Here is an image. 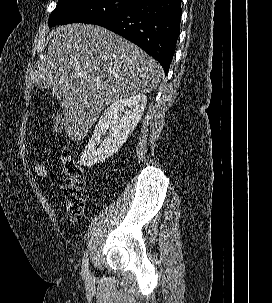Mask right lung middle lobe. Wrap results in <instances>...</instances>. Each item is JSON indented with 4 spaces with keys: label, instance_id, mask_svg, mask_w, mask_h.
<instances>
[{
    "label": "right lung middle lobe",
    "instance_id": "obj_1",
    "mask_svg": "<svg viewBox=\"0 0 272 303\" xmlns=\"http://www.w3.org/2000/svg\"><path fill=\"white\" fill-rule=\"evenodd\" d=\"M135 0H59L49 17V27L92 23L133 7Z\"/></svg>",
    "mask_w": 272,
    "mask_h": 303
}]
</instances>
